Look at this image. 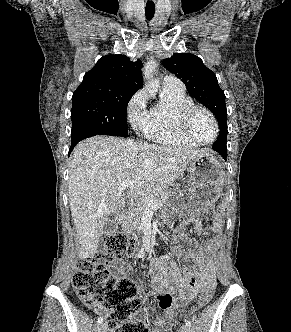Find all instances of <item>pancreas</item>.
Listing matches in <instances>:
<instances>
[{
	"label": "pancreas",
	"mask_w": 291,
	"mask_h": 332,
	"mask_svg": "<svg viewBox=\"0 0 291 332\" xmlns=\"http://www.w3.org/2000/svg\"><path fill=\"white\" fill-rule=\"evenodd\" d=\"M147 196L151 197L158 208L163 207L171 196V189L165 188L163 190L147 193ZM147 205L140 200L137 202L125 215V219L122 222V228L126 232H139L141 230V220L145 214Z\"/></svg>",
	"instance_id": "pancreas-1"
}]
</instances>
